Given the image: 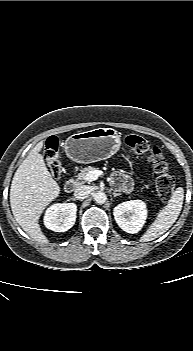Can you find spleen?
<instances>
[{"instance_id":"1","label":"spleen","mask_w":193,"mask_h":351,"mask_svg":"<svg viewBox=\"0 0 193 351\" xmlns=\"http://www.w3.org/2000/svg\"><path fill=\"white\" fill-rule=\"evenodd\" d=\"M184 189L178 187L172 194L168 204L160 210L155 221L141 236L140 242L152 241L164 234L177 220L183 204Z\"/></svg>"}]
</instances>
